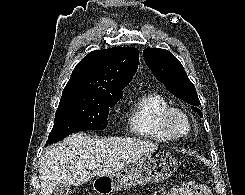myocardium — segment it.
I'll use <instances>...</instances> for the list:
<instances>
[{
    "label": "myocardium",
    "mask_w": 245,
    "mask_h": 195,
    "mask_svg": "<svg viewBox=\"0 0 245 195\" xmlns=\"http://www.w3.org/2000/svg\"><path fill=\"white\" fill-rule=\"evenodd\" d=\"M176 115L181 116L188 125V129L184 134H177L171 126V120ZM159 127L170 140H182L191 133L192 121L184 110L177 107H168L160 114Z\"/></svg>",
    "instance_id": "1"
}]
</instances>
